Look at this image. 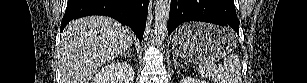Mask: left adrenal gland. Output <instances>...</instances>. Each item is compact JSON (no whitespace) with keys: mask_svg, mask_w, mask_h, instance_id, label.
<instances>
[{"mask_svg":"<svg viewBox=\"0 0 307 83\" xmlns=\"http://www.w3.org/2000/svg\"><path fill=\"white\" fill-rule=\"evenodd\" d=\"M173 62H174V68L177 69L178 67H181L182 69H185V66H183L182 64H179V62H177L175 56H173Z\"/></svg>","mask_w":307,"mask_h":83,"instance_id":"1","label":"left adrenal gland"}]
</instances>
